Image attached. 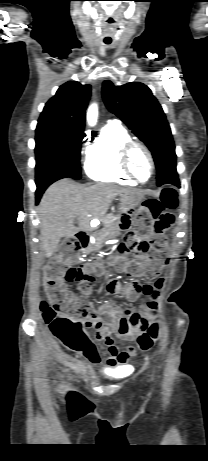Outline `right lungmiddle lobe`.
<instances>
[{
  "label": "right lung middle lobe",
  "mask_w": 208,
  "mask_h": 461,
  "mask_svg": "<svg viewBox=\"0 0 208 461\" xmlns=\"http://www.w3.org/2000/svg\"><path fill=\"white\" fill-rule=\"evenodd\" d=\"M84 132L40 122L36 128V184L58 175L81 178L80 149Z\"/></svg>",
  "instance_id": "obj_1"
}]
</instances>
